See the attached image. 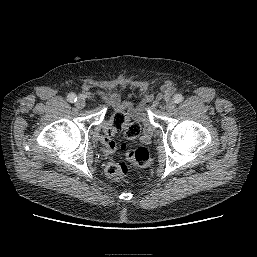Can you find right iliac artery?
I'll return each instance as SVG.
<instances>
[{"mask_svg":"<svg viewBox=\"0 0 257 257\" xmlns=\"http://www.w3.org/2000/svg\"><path fill=\"white\" fill-rule=\"evenodd\" d=\"M67 99H68L69 102L74 103V102H76V100H77V96H76L74 93H70V94L67 96Z\"/></svg>","mask_w":257,"mask_h":257,"instance_id":"right-iliac-artery-1","label":"right iliac artery"}]
</instances>
